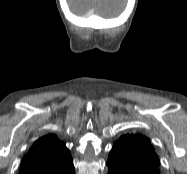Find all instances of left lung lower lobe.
Here are the masks:
<instances>
[{
	"mask_svg": "<svg viewBox=\"0 0 187 174\" xmlns=\"http://www.w3.org/2000/svg\"><path fill=\"white\" fill-rule=\"evenodd\" d=\"M108 174H146L141 171L129 170L120 167H109Z\"/></svg>",
	"mask_w": 187,
	"mask_h": 174,
	"instance_id": "0a47b994",
	"label": "left lung lower lobe"
}]
</instances>
